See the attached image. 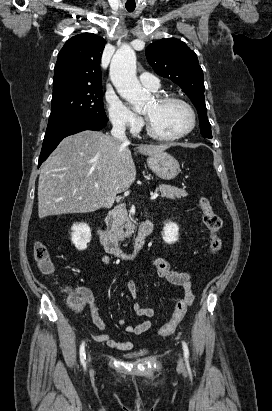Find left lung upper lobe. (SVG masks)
Listing matches in <instances>:
<instances>
[{
	"mask_svg": "<svg viewBox=\"0 0 272 411\" xmlns=\"http://www.w3.org/2000/svg\"><path fill=\"white\" fill-rule=\"evenodd\" d=\"M146 57L154 71L179 85L195 105L203 137L212 138L204 101V77L197 56L178 39H161L146 48Z\"/></svg>",
	"mask_w": 272,
	"mask_h": 411,
	"instance_id": "1",
	"label": "left lung upper lobe"
}]
</instances>
